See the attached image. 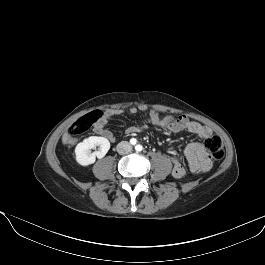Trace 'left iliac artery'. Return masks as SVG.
Masks as SVG:
<instances>
[{"mask_svg": "<svg viewBox=\"0 0 265 265\" xmlns=\"http://www.w3.org/2000/svg\"><path fill=\"white\" fill-rule=\"evenodd\" d=\"M135 149H136V151H142L143 147L138 144L135 146Z\"/></svg>", "mask_w": 265, "mask_h": 265, "instance_id": "obj_1", "label": "left iliac artery"}]
</instances>
